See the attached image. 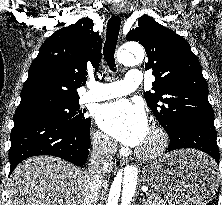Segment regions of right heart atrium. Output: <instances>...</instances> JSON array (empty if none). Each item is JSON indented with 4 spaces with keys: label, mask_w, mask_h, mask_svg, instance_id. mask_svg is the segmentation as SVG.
I'll return each instance as SVG.
<instances>
[{
    "label": "right heart atrium",
    "mask_w": 222,
    "mask_h": 205,
    "mask_svg": "<svg viewBox=\"0 0 222 205\" xmlns=\"http://www.w3.org/2000/svg\"><path fill=\"white\" fill-rule=\"evenodd\" d=\"M92 143L94 148L104 154L110 155L113 152L114 145L110 138L103 132L96 130L92 135Z\"/></svg>",
    "instance_id": "obj_1"
}]
</instances>
